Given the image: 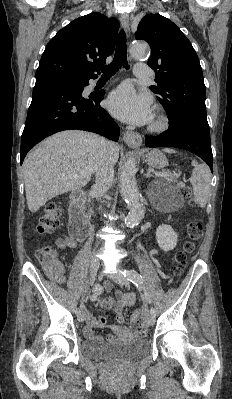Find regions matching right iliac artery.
<instances>
[{
    "mask_svg": "<svg viewBox=\"0 0 232 399\" xmlns=\"http://www.w3.org/2000/svg\"><path fill=\"white\" fill-rule=\"evenodd\" d=\"M95 297H96V295H94V294H92V295L90 296L91 299H94ZM80 313H81L80 309L76 308V309H75V314H76V315H79Z\"/></svg>",
    "mask_w": 232,
    "mask_h": 399,
    "instance_id": "82829eb1",
    "label": "right iliac artery"
}]
</instances>
